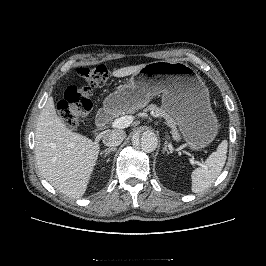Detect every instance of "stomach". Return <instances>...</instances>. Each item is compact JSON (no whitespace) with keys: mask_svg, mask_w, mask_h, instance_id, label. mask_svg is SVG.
I'll list each match as a JSON object with an SVG mask.
<instances>
[{"mask_svg":"<svg viewBox=\"0 0 266 266\" xmlns=\"http://www.w3.org/2000/svg\"><path fill=\"white\" fill-rule=\"evenodd\" d=\"M161 94L162 108L179 127L192 151L207 147L218 133V120L211 108L209 91L195 70L175 61H155L135 72L128 84L104 101L108 111L144 108Z\"/></svg>","mask_w":266,"mask_h":266,"instance_id":"0dacf381","label":"stomach"}]
</instances>
